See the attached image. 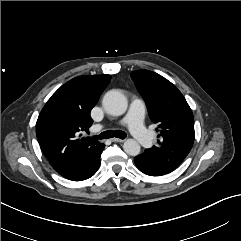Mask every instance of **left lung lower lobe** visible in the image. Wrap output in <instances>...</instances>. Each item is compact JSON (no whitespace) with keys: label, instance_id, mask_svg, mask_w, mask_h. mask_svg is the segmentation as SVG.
Listing matches in <instances>:
<instances>
[{"label":"left lung lower lobe","instance_id":"0a47b994","mask_svg":"<svg viewBox=\"0 0 241 241\" xmlns=\"http://www.w3.org/2000/svg\"><path fill=\"white\" fill-rule=\"evenodd\" d=\"M135 164L137 168L146 175L150 176H161L175 170L172 167L158 165L153 163H146L142 160V158L138 155L134 158Z\"/></svg>","mask_w":241,"mask_h":241}]
</instances>
